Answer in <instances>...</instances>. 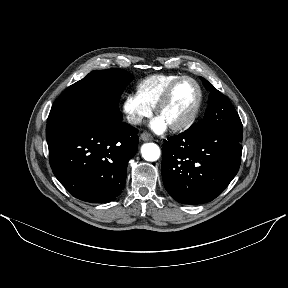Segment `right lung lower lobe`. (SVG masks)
Listing matches in <instances>:
<instances>
[{
  "label": "right lung lower lobe",
  "mask_w": 288,
  "mask_h": 288,
  "mask_svg": "<svg viewBox=\"0 0 288 288\" xmlns=\"http://www.w3.org/2000/svg\"><path fill=\"white\" fill-rule=\"evenodd\" d=\"M137 132L114 115L100 96L73 100L47 120L52 171L80 200L113 201L124 188L128 161L138 149Z\"/></svg>",
  "instance_id": "obj_1"
}]
</instances>
